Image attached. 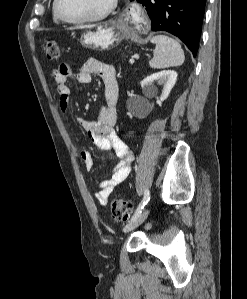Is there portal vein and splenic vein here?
<instances>
[{"mask_svg":"<svg viewBox=\"0 0 247 299\" xmlns=\"http://www.w3.org/2000/svg\"><path fill=\"white\" fill-rule=\"evenodd\" d=\"M129 62H130L131 64H133L135 61H134L133 58H131V59L129 60Z\"/></svg>","mask_w":247,"mask_h":299,"instance_id":"portal-vein-and-splenic-vein-1","label":"portal vein and splenic vein"}]
</instances>
